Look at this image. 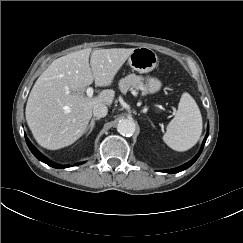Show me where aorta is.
<instances>
[{"label": "aorta", "mask_w": 243, "mask_h": 243, "mask_svg": "<svg viewBox=\"0 0 243 243\" xmlns=\"http://www.w3.org/2000/svg\"><path fill=\"white\" fill-rule=\"evenodd\" d=\"M136 130V125L131 119H123L117 125V131L123 136H132Z\"/></svg>", "instance_id": "obj_1"}]
</instances>
